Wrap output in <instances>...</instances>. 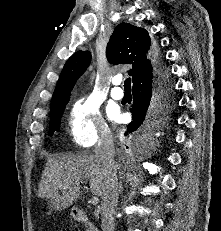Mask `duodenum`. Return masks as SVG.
Returning <instances> with one entry per match:
<instances>
[{"instance_id": "1", "label": "duodenum", "mask_w": 221, "mask_h": 231, "mask_svg": "<svg viewBox=\"0 0 221 231\" xmlns=\"http://www.w3.org/2000/svg\"><path fill=\"white\" fill-rule=\"evenodd\" d=\"M74 219L79 223H91L92 219L81 209H75L73 211Z\"/></svg>"}]
</instances>
